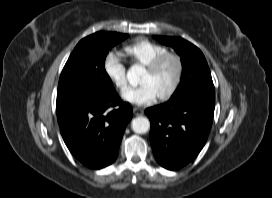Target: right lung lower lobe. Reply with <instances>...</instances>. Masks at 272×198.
<instances>
[{"mask_svg":"<svg viewBox=\"0 0 272 198\" xmlns=\"http://www.w3.org/2000/svg\"><path fill=\"white\" fill-rule=\"evenodd\" d=\"M113 107V109H111ZM132 107L116 91L57 103L61 135L70 152L89 168L100 169L117 158Z\"/></svg>","mask_w":272,"mask_h":198,"instance_id":"right-lung-lower-lobe-1","label":"right lung lower lobe"}]
</instances>
